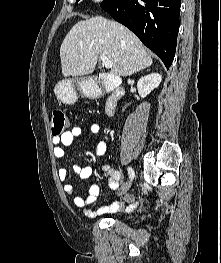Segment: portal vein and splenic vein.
Here are the masks:
<instances>
[{
    "mask_svg": "<svg viewBox=\"0 0 221 263\" xmlns=\"http://www.w3.org/2000/svg\"><path fill=\"white\" fill-rule=\"evenodd\" d=\"M100 59L102 61V64L106 68H111L113 66V62L111 60H109L105 55H100Z\"/></svg>",
    "mask_w": 221,
    "mask_h": 263,
    "instance_id": "1",
    "label": "portal vein and splenic vein"
}]
</instances>
